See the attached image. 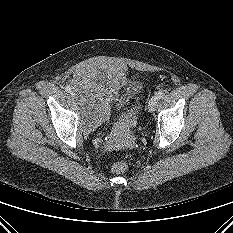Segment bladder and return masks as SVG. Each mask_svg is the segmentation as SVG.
<instances>
[{
  "label": "bladder",
  "mask_w": 233,
  "mask_h": 233,
  "mask_svg": "<svg viewBox=\"0 0 233 233\" xmlns=\"http://www.w3.org/2000/svg\"><path fill=\"white\" fill-rule=\"evenodd\" d=\"M71 86L86 130H93L109 119L112 102L123 105L141 91V84L129 80L123 69L99 62L82 65Z\"/></svg>",
  "instance_id": "31cf9c89"
}]
</instances>
